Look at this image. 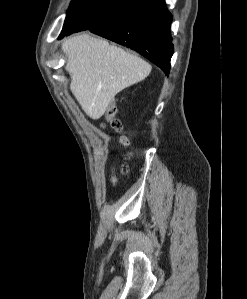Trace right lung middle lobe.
I'll return each mask as SVG.
<instances>
[{"label":"right lung middle lobe","mask_w":247,"mask_h":299,"mask_svg":"<svg viewBox=\"0 0 247 299\" xmlns=\"http://www.w3.org/2000/svg\"><path fill=\"white\" fill-rule=\"evenodd\" d=\"M135 0H72L60 37L101 25L128 9Z\"/></svg>","instance_id":"right-lung-middle-lobe-1"}]
</instances>
